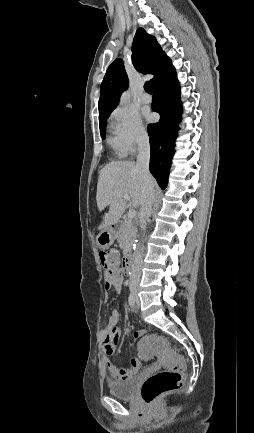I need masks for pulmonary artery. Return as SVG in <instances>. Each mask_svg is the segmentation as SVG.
<instances>
[{"label":"pulmonary artery","instance_id":"pulmonary-artery-1","mask_svg":"<svg viewBox=\"0 0 254 433\" xmlns=\"http://www.w3.org/2000/svg\"><path fill=\"white\" fill-rule=\"evenodd\" d=\"M141 101L144 104H149L151 102V97L147 93H144L141 97Z\"/></svg>","mask_w":254,"mask_h":433}]
</instances>
